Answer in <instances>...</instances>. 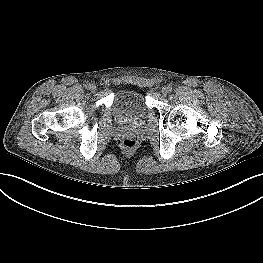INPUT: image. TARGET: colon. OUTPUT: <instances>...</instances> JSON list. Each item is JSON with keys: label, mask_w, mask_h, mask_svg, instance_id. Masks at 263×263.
<instances>
[{"label": "colon", "mask_w": 263, "mask_h": 263, "mask_svg": "<svg viewBox=\"0 0 263 263\" xmlns=\"http://www.w3.org/2000/svg\"><path fill=\"white\" fill-rule=\"evenodd\" d=\"M123 146L128 149L134 148L136 146V141L132 139H126L123 141Z\"/></svg>", "instance_id": "1"}]
</instances>
